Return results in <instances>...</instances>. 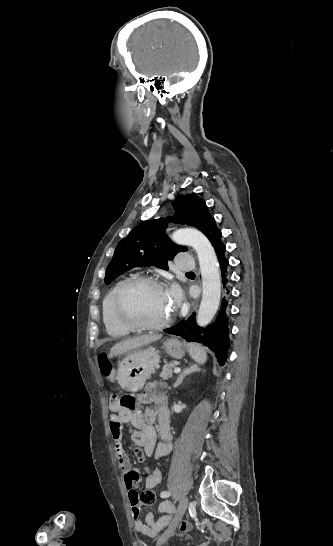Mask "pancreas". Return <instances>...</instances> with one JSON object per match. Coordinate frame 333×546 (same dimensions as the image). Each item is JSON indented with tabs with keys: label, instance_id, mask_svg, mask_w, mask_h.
Listing matches in <instances>:
<instances>
[{
	"label": "pancreas",
	"instance_id": "obj_1",
	"mask_svg": "<svg viewBox=\"0 0 333 546\" xmlns=\"http://www.w3.org/2000/svg\"><path fill=\"white\" fill-rule=\"evenodd\" d=\"M174 368H175V362L167 363L163 367L162 372L160 373V377L163 380H168L169 378H171L173 376V369Z\"/></svg>",
	"mask_w": 333,
	"mask_h": 546
}]
</instances>
